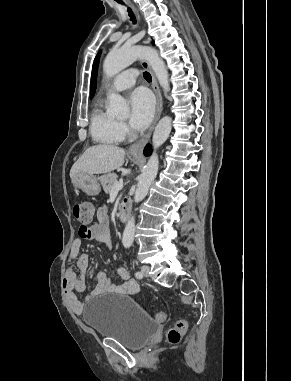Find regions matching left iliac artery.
Segmentation results:
<instances>
[{
    "label": "left iliac artery",
    "instance_id": "44dca946",
    "mask_svg": "<svg viewBox=\"0 0 291 381\" xmlns=\"http://www.w3.org/2000/svg\"><path fill=\"white\" fill-rule=\"evenodd\" d=\"M135 277L141 279L143 277V274L140 271H137L135 272Z\"/></svg>",
    "mask_w": 291,
    "mask_h": 381
}]
</instances>
